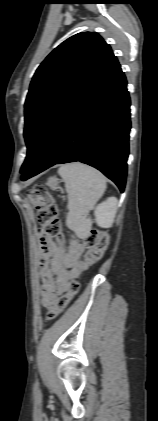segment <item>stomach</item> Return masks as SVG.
<instances>
[{"label":"stomach","mask_w":158,"mask_h":421,"mask_svg":"<svg viewBox=\"0 0 158 421\" xmlns=\"http://www.w3.org/2000/svg\"><path fill=\"white\" fill-rule=\"evenodd\" d=\"M58 179L55 177H50L46 183L47 186H49L51 189H57L58 188Z\"/></svg>","instance_id":"obj_1"}]
</instances>
